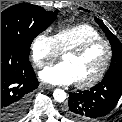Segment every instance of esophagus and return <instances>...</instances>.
I'll use <instances>...</instances> for the list:
<instances>
[{
    "label": "esophagus",
    "instance_id": "1",
    "mask_svg": "<svg viewBox=\"0 0 122 122\" xmlns=\"http://www.w3.org/2000/svg\"><path fill=\"white\" fill-rule=\"evenodd\" d=\"M41 86H42L43 88L49 89V90L55 89V87H53V86H51V85H48V84H42Z\"/></svg>",
    "mask_w": 122,
    "mask_h": 122
}]
</instances>
